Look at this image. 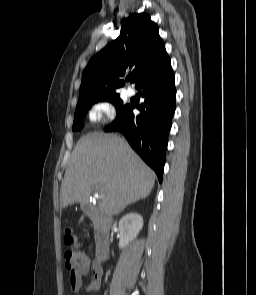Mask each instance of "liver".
Returning <instances> with one entry per match:
<instances>
[{
  "label": "liver",
  "mask_w": 256,
  "mask_h": 295,
  "mask_svg": "<svg viewBox=\"0 0 256 295\" xmlns=\"http://www.w3.org/2000/svg\"><path fill=\"white\" fill-rule=\"evenodd\" d=\"M155 178V173L123 138L91 132L78 140L72 152L61 186V206L87 203L96 187L104 195L100 210L113 216L146 198Z\"/></svg>",
  "instance_id": "1"
}]
</instances>
